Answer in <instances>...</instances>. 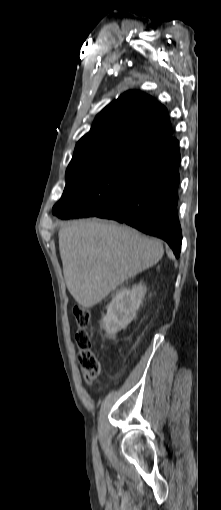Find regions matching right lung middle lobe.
Masks as SVG:
<instances>
[{"mask_svg":"<svg viewBox=\"0 0 221 510\" xmlns=\"http://www.w3.org/2000/svg\"><path fill=\"white\" fill-rule=\"evenodd\" d=\"M150 153L125 147L71 160L66 186L53 214L66 216L80 205L86 211L111 206L125 193Z\"/></svg>","mask_w":221,"mask_h":510,"instance_id":"dd1d6c3e","label":"right lung middle lobe"}]
</instances>
